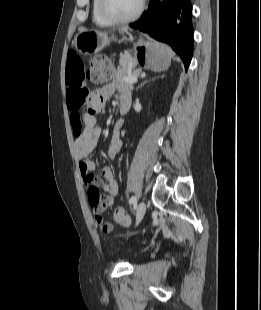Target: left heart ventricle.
I'll use <instances>...</instances> for the list:
<instances>
[{
	"mask_svg": "<svg viewBox=\"0 0 261 310\" xmlns=\"http://www.w3.org/2000/svg\"><path fill=\"white\" fill-rule=\"evenodd\" d=\"M140 0H105L107 11L116 17H128L138 8Z\"/></svg>",
	"mask_w": 261,
	"mask_h": 310,
	"instance_id": "left-heart-ventricle-1",
	"label": "left heart ventricle"
}]
</instances>
